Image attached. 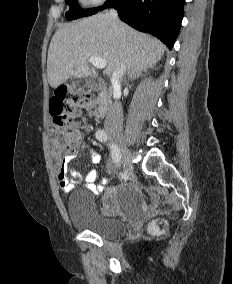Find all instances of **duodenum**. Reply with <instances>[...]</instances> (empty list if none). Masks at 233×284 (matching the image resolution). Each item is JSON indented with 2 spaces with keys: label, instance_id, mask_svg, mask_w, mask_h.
Listing matches in <instances>:
<instances>
[{
  "label": "duodenum",
  "instance_id": "obj_1",
  "mask_svg": "<svg viewBox=\"0 0 233 284\" xmlns=\"http://www.w3.org/2000/svg\"><path fill=\"white\" fill-rule=\"evenodd\" d=\"M109 99V93L105 87H103L99 93L100 109L98 112V117H102L107 111V104Z\"/></svg>",
  "mask_w": 233,
  "mask_h": 284
}]
</instances>
